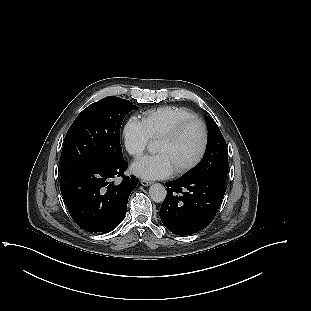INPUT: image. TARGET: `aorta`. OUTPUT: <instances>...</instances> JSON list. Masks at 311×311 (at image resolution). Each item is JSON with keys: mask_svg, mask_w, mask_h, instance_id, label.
Instances as JSON below:
<instances>
[{"mask_svg": "<svg viewBox=\"0 0 311 311\" xmlns=\"http://www.w3.org/2000/svg\"><path fill=\"white\" fill-rule=\"evenodd\" d=\"M149 150L150 151L153 150L151 145L149 146ZM166 195H167V191L165 187L160 183H154L149 188V196L151 200L156 203L163 202L164 199L166 198Z\"/></svg>", "mask_w": 311, "mask_h": 311, "instance_id": "aorta-1", "label": "aorta"}]
</instances>
